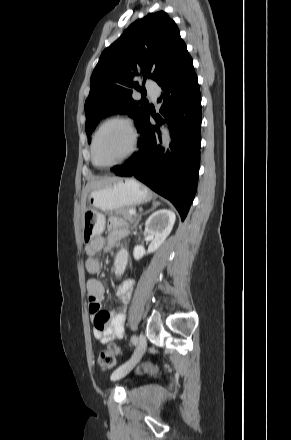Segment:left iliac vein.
<instances>
[{
  "label": "left iliac vein",
  "mask_w": 291,
  "mask_h": 440,
  "mask_svg": "<svg viewBox=\"0 0 291 440\" xmlns=\"http://www.w3.org/2000/svg\"><path fill=\"white\" fill-rule=\"evenodd\" d=\"M146 350V338L143 334L139 335L138 343L133 356L129 361L118 367L111 375L112 380H119L126 376L139 362Z\"/></svg>",
  "instance_id": "left-iliac-vein-1"
}]
</instances>
